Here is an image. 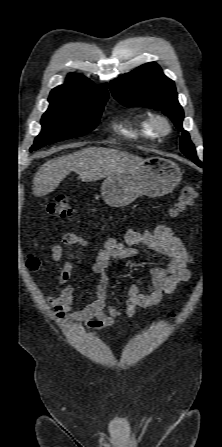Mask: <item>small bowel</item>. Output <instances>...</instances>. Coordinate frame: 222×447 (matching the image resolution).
<instances>
[{"instance_id":"small-bowel-1","label":"small bowel","mask_w":222,"mask_h":447,"mask_svg":"<svg viewBox=\"0 0 222 447\" xmlns=\"http://www.w3.org/2000/svg\"><path fill=\"white\" fill-rule=\"evenodd\" d=\"M87 244L88 242L83 236L66 233L62 237L61 243L52 246V259L57 263L63 261L64 245L85 247ZM141 247L165 257L166 264L163 267L157 266L150 269L151 284L147 292H143L138 285H132L129 288L123 311L107 305L105 286L107 283L106 270L109 264L113 260L130 259L137 256ZM191 262V255L176 237L170 225L158 224L153 230L132 229L126 233L125 242L108 238L98 248L97 257L92 264L93 273L99 276V280L91 285L95 300L82 309L72 310L75 288L69 284L59 296L49 297L47 301L59 319L83 322L88 329L110 327L115 324L116 318L119 316L132 318L138 308L150 309L160 305L165 295L174 293L179 284L190 278L189 265ZM72 265L70 261L63 264L58 275L60 285L70 280Z\"/></svg>"}]
</instances>
